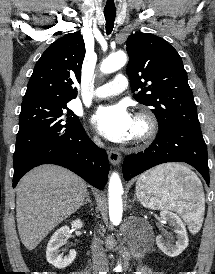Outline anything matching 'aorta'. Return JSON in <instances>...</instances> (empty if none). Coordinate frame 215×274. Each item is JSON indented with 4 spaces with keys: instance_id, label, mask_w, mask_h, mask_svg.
Listing matches in <instances>:
<instances>
[{
    "instance_id": "1",
    "label": "aorta",
    "mask_w": 215,
    "mask_h": 274,
    "mask_svg": "<svg viewBox=\"0 0 215 274\" xmlns=\"http://www.w3.org/2000/svg\"><path fill=\"white\" fill-rule=\"evenodd\" d=\"M127 56L124 52L119 51L109 55L101 63V71L105 74L112 73L125 65ZM109 216L114 224H119L122 219L123 205L122 194L123 187L120 177L117 173H113L109 181ZM121 270V266H117V271Z\"/></svg>"
}]
</instances>
